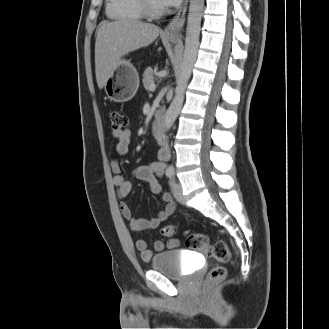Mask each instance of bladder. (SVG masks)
Segmentation results:
<instances>
[{"mask_svg":"<svg viewBox=\"0 0 329 329\" xmlns=\"http://www.w3.org/2000/svg\"><path fill=\"white\" fill-rule=\"evenodd\" d=\"M151 269L172 279H182L187 275L184 271L181 252L178 249L156 254L151 261Z\"/></svg>","mask_w":329,"mask_h":329,"instance_id":"31cf9c89","label":"bladder"}]
</instances>
